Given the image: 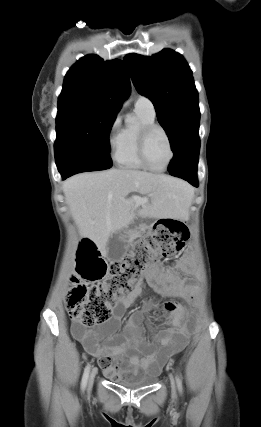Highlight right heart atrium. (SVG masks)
Listing matches in <instances>:
<instances>
[{
  "instance_id": "d8ad5b80",
  "label": "right heart atrium",
  "mask_w": 261,
  "mask_h": 427,
  "mask_svg": "<svg viewBox=\"0 0 261 427\" xmlns=\"http://www.w3.org/2000/svg\"><path fill=\"white\" fill-rule=\"evenodd\" d=\"M120 132V120L118 117H115L111 122L107 133V142L113 151H116L118 147Z\"/></svg>"
}]
</instances>
